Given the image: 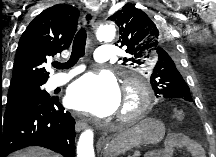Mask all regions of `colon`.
<instances>
[{
	"label": "colon",
	"mask_w": 216,
	"mask_h": 157,
	"mask_svg": "<svg viewBox=\"0 0 216 157\" xmlns=\"http://www.w3.org/2000/svg\"><path fill=\"white\" fill-rule=\"evenodd\" d=\"M173 118L176 120V121H182L184 120L185 118V113L182 109L180 108H176L173 112Z\"/></svg>",
	"instance_id": "obj_1"
}]
</instances>
